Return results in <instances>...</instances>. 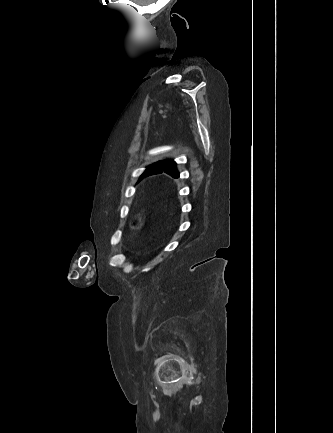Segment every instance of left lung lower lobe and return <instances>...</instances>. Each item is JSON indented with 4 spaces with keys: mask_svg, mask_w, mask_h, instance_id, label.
Here are the masks:
<instances>
[{
    "mask_svg": "<svg viewBox=\"0 0 333 433\" xmlns=\"http://www.w3.org/2000/svg\"><path fill=\"white\" fill-rule=\"evenodd\" d=\"M145 176H147V174H146V173H143V175L141 176L140 179H142V178L145 177Z\"/></svg>",
    "mask_w": 333,
    "mask_h": 433,
    "instance_id": "0a47b994",
    "label": "left lung lower lobe"
}]
</instances>
